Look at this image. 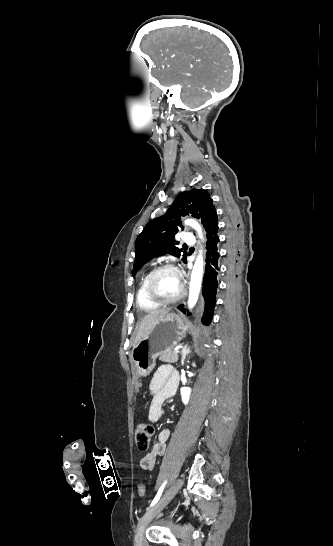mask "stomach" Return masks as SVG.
I'll return each mask as SVG.
<instances>
[{
    "mask_svg": "<svg viewBox=\"0 0 333 546\" xmlns=\"http://www.w3.org/2000/svg\"><path fill=\"white\" fill-rule=\"evenodd\" d=\"M184 334L185 327L181 316L168 313L154 326L149 335L133 348L132 359L137 373L140 376L149 375L157 357L176 346Z\"/></svg>",
    "mask_w": 333,
    "mask_h": 546,
    "instance_id": "stomach-1",
    "label": "stomach"
}]
</instances>
